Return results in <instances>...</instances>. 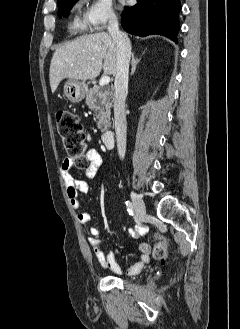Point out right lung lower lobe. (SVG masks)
Returning <instances> with one entry per match:
<instances>
[{
    "label": "right lung lower lobe",
    "instance_id": "1",
    "mask_svg": "<svg viewBox=\"0 0 240 329\" xmlns=\"http://www.w3.org/2000/svg\"><path fill=\"white\" fill-rule=\"evenodd\" d=\"M125 8L121 20L125 31L138 36L164 35L177 42L180 0H137Z\"/></svg>",
    "mask_w": 240,
    "mask_h": 329
}]
</instances>
